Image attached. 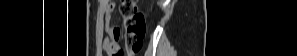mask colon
<instances>
[{
	"instance_id": "obj_1",
	"label": "colon",
	"mask_w": 297,
	"mask_h": 56,
	"mask_svg": "<svg viewBox=\"0 0 297 56\" xmlns=\"http://www.w3.org/2000/svg\"><path fill=\"white\" fill-rule=\"evenodd\" d=\"M120 14L123 17L125 28V51L128 55H134L139 52L143 45V39L146 32L144 14L139 10L136 0H123L119 6ZM121 49L115 52L114 56H123Z\"/></svg>"
}]
</instances>
